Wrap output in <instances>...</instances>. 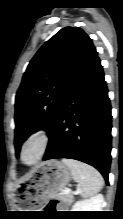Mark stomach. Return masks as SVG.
Listing matches in <instances>:
<instances>
[{"mask_svg": "<svg viewBox=\"0 0 123 219\" xmlns=\"http://www.w3.org/2000/svg\"><path fill=\"white\" fill-rule=\"evenodd\" d=\"M71 179L70 169L58 160H49L34 168L17 187L15 201L19 211H40L62 191Z\"/></svg>", "mask_w": 123, "mask_h": 219, "instance_id": "obj_1", "label": "stomach"}]
</instances>
